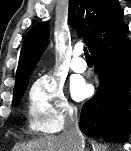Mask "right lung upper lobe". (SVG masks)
Masks as SVG:
<instances>
[{
	"instance_id": "obj_1",
	"label": "right lung upper lobe",
	"mask_w": 131,
	"mask_h": 151,
	"mask_svg": "<svg viewBox=\"0 0 131 151\" xmlns=\"http://www.w3.org/2000/svg\"><path fill=\"white\" fill-rule=\"evenodd\" d=\"M118 0H70L68 21L83 36L90 53L128 29ZM49 22L34 25L21 48L14 90L28 84L49 42Z\"/></svg>"
}]
</instances>
